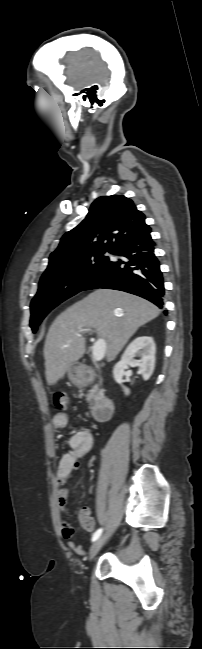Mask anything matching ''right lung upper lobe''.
Masks as SVG:
<instances>
[{"label": "right lung upper lobe", "instance_id": "obj_1", "mask_svg": "<svg viewBox=\"0 0 202 649\" xmlns=\"http://www.w3.org/2000/svg\"><path fill=\"white\" fill-rule=\"evenodd\" d=\"M148 228L145 215L136 209L131 199L123 195L99 197L92 203L86 218L61 238L42 277L64 270L68 262L83 254L112 252L123 241Z\"/></svg>", "mask_w": 202, "mask_h": 649}]
</instances>
